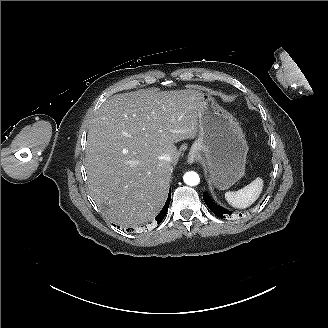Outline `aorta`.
Masks as SVG:
<instances>
[{"label":"aorta","mask_w":328,"mask_h":328,"mask_svg":"<svg viewBox=\"0 0 328 328\" xmlns=\"http://www.w3.org/2000/svg\"><path fill=\"white\" fill-rule=\"evenodd\" d=\"M183 180L189 186H196L200 182V177L196 172L189 171L184 174Z\"/></svg>","instance_id":"aorta-1"}]
</instances>
